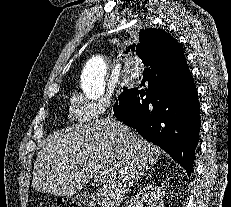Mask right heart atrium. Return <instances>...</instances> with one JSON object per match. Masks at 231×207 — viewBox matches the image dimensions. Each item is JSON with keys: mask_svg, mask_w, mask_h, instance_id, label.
Returning a JSON list of instances; mask_svg holds the SVG:
<instances>
[{"mask_svg": "<svg viewBox=\"0 0 231 207\" xmlns=\"http://www.w3.org/2000/svg\"><path fill=\"white\" fill-rule=\"evenodd\" d=\"M75 121L80 125H91L99 120L112 106V99L104 96L91 100L81 93L71 98Z\"/></svg>", "mask_w": 231, "mask_h": 207, "instance_id": "right-heart-atrium-1", "label": "right heart atrium"}]
</instances>
